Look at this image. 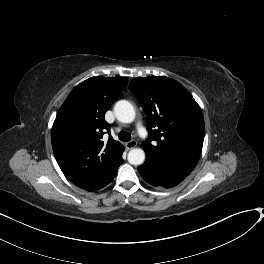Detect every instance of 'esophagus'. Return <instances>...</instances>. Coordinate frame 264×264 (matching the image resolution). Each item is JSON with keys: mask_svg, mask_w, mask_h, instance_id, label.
Segmentation results:
<instances>
[{"mask_svg": "<svg viewBox=\"0 0 264 264\" xmlns=\"http://www.w3.org/2000/svg\"><path fill=\"white\" fill-rule=\"evenodd\" d=\"M126 146L128 149L135 148L137 146V142L135 140H131V141L126 143Z\"/></svg>", "mask_w": 264, "mask_h": 264, "instance_id": "34e87169", "label": "esophagus"}]
</instances>
